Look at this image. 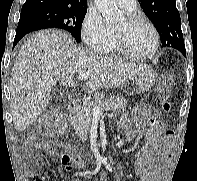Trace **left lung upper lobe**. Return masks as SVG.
Segmentation results:
<instances>
[{"label": "left lung upper lobe", "instance_id": "1", "mask_svg": "<svg viewBox=\"0 0 197 181\" xmlns=\"http://www.w3.org/2000/svg\"><path fill=\"white\" fill-rule=\"evenodd\" d=\"M146 16L156 27L163 47L186 51L176 0H138Z\"/></svg>", "mask_w": 197, "mask_h": 181}]
</instances>
